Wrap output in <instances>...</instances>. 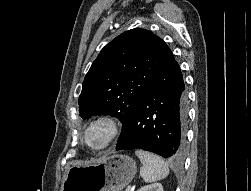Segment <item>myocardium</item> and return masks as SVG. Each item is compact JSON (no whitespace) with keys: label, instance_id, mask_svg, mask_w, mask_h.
Instances as JSON below:
<instances>
[{"label":"myocardium","instance_id":"1","mask_svg":"<svg viewBox=\"0 0 251 191\" xmlns=\"http://www.w3.org/2000/svg\"><path fill=\"white\" fill-rule=\"evenodd\" d=\"M95 124H102L106 127L107 132H108V139L106 144L99 150H93L88 148L87 146H85V144L83 143V139L82 136L84 134V132L90 128L91 126L95 125ZM120 134V126L119 123L117 121V119L108 113H99L97 115H94L93 117H91L82 127L80 134H79V138H80V145L82 148H84L85 150L93 153V154H97V155H101L103 153H105L106 151H108L112 145L115 143V141L117 140L118 136Z\"/></svg>","mask_w":251,"mask_h":191}]
</instances>
